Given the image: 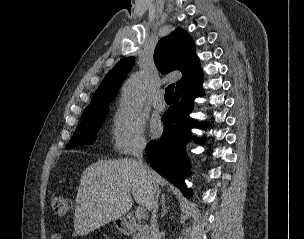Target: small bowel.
<instances>
[{"mask_svg": "<svg viewBox=\"0 0 304 239\" xmlns=\"http://www.w3.org/2000/svg\"><path fill=\"white\" fill-rule=\"evenodd\" d=\"M51 239H62V233L61 232L54 233Z\"/></svg>", "mask_w": 304, "mask_h": 239, "instance_id": "small-bowel-1", "label": "small bowel"}]
</instances>
